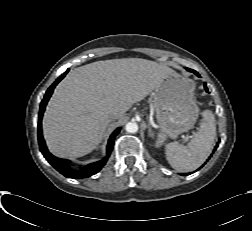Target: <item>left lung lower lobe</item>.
<instances>
[{
	"label": "left lung lower lobe",
	"instance_id": "1",
	"mask_svg": "<svg viewBox=\"0 0 252 231\" xmlns=\"http://www.w3.org/2000/svg\"><path fill=\"white\" fill-rule=\"evenodd\" d=\"M186 69H187L188 71L194 72L196 75H198V73H197L196 71L191 70V69H189V68H186ZM204 87H205L206 91L208 92L207 87H206V83L204 84ZM217 147H218V144L216 145V147H215L214 149L216 150ZM182 175H183V174H182Z\"/></svg>",
	"mask_w": 252,
	"mask_h": 231
}]
</instances>
